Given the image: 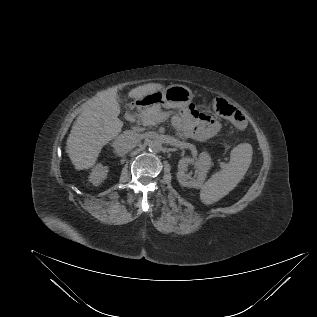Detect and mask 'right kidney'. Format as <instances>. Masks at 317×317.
<instances>
[{"instance_id": "ca27d5eb", "label": "right kidney", "mask_w": 317, "mask_h": 317, "mask_svg": "<svg viewBox=\"0 0 317 317\" xmlns=\"http://www.w3.org/2000/svg\"><path fill=\"white\" fill-rule=\"evenodd\" d=\"M108 167L97 164L90 173L89 181L94 185H99L107 177Z\"/></svg>"}]
</instances>
